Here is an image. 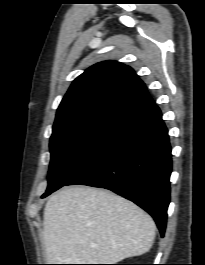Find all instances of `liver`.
Returning <instances> with one entry per match:
<instances>
[{"label":"liver","mask_w":205,"mask_h":265,"mask_svg":"<svg viewBox=\"0 0 205 265\" xmlns=\"http://www.w3.org/2000/svg\"><path fill=\"white\" fill-rule=\"evenodd\" d=\"M153 219L110 191L77 186L58 191L44 208L43 238L49 264H115L148 252Z\"/></svg>","instance_id":"6515ba94"}]
</instances>
